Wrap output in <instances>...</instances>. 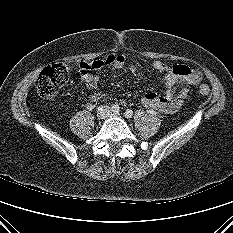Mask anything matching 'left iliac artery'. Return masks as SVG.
<instances>
[{
	"mask_svg": "<svg viewBox=\"0 0 233 233\" xmlns=\"http://www.w3.org/2000/svg\"><path fill=\"white\" fill-rule=\"evenodd\" d=\"M124 115H125L126 118H132V116H133V111L130 110V109H127V110L125 111Z\"/></svg>",
	"mask_w": 233,
	"mask_h": 233,
	"instance_id": "left-iliac-artery-1",
	"label": "left iliac artery"
}]
</instances>
